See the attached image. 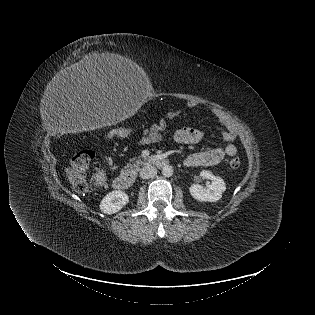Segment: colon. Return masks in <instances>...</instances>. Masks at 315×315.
I'll use <instances>...</instances> for the list:
<instances>
[{
	"label": "colon",
	"instance_id": "colon-1",
	"mask_svg": "<svg viewBox=\"0 0 315 315\" xmlns=\"http://www.w3.org/2000/svg\"><path fill=\"white\" fill-rule=\"evenodd\" d=\"M131 128H117L112 132V137H126L131 133ZM94 158V152L91 150H80L75 153L70 159L69 165L66 170V175L72 188L77 192H85L88 189V182L85 172L88 169L92 159ZM230 167L237 169L240 167L241 162L239 158H233L230 163Z\"/></svg>",
	"mask_w": 315,
	"mask_h": 315
}]
</instances>
